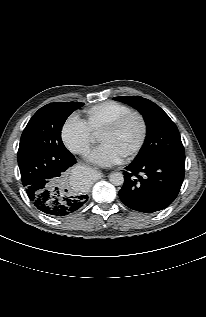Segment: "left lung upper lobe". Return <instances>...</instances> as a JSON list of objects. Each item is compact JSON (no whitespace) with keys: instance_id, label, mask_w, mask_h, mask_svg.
<instances>
[{"instance_id":"1","label":"left lung upper lobe","mask_w":206,"mask_h":317,"mask_svg":"<svg viewBox=\"0 0 206 317\" xmlns=\"http://www.w3.org/2000/svg\"><path fill=\"white\" fill-rule=\"evenodd\" d=\"M137 109L144 117L147 136L138 155L133 160H169L185 163V152L175 123L152 101L140 96L114 97Z\"/></svg>"}]
</instances>
